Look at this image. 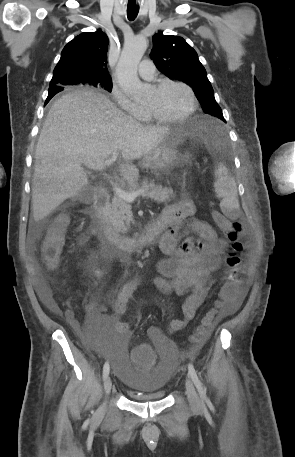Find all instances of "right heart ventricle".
<instances>
[{
	"mask_svg": "<svg viewBox=\"0 0 295 457\" xmlns=\"http://www.w3.org/2000/svg\"><path fill=\"white\" fill-rule=\"evenodd\" d=\"M139 120L143 121V122H149L151 121V118L150 116L148 115V113L146 112V110L143 108V112L139 118Z\"/></svg>",
	"mask_w": 295,
	"mask_h": 457,
	"instance_id": "obj_1",
	"label": "right heart ventricle"
}]
</instances>
